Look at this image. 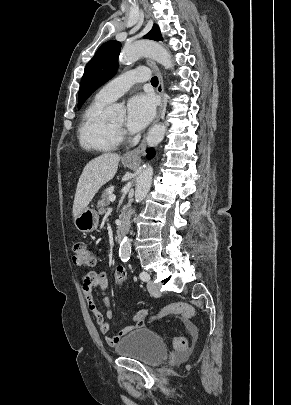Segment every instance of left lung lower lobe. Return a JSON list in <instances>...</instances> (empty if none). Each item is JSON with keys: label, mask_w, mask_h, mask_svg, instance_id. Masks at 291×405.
Returning <instances> with one entry per match:
<instances>
[{"label": "left lung lower lobe", "mask_w": 291, "mask_h": 405, "mask_svg": "<svg viewBox=\"0 0 291 405\" xmlns=\"http://www.w3.org/2000/svg\"><path fill=\"white\" fill-rule=\"evenodd\" d=\"M147 153H148L147 157L150 158V159L154 156V150L153 149L147 150Z\"/></svg>", "instance_id": "left-lung-lower-lobe-1"}]
</instances>
